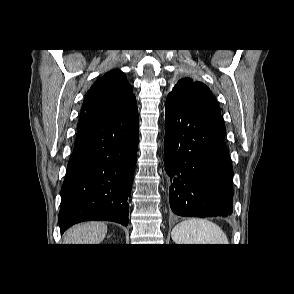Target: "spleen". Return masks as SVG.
Returning a JSON list of instances; mask_svg holds the SVG:
<instances>
[{
	"instance_id": "spleen-1",
	"label": "spleen",
	"mask_w": 294,
	"mask_h": 294,
	"mask_svg": "<svg viewBox=\"0 0 294 294\" xmlns=\"http://www.w3.org/2000/svg\"><path fill=\"white\" fill-rule=\"evenodd\" d=\"M171 237L176 244H229L217 224L200 218H190L177 224Z\"/></svg>"
}]
</instances>
